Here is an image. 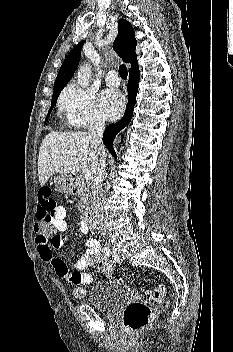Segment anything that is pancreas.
<instances>
[{"mask_svg":"<svg viewBox=\"0 0 233 352\" xmlns=\"http://www.w3.org/2000/svg\"><path fill=\"white\" fill-rule=\"evenodd\" d=\"M77 197L79 198V210L85 212L91 203V193L88 187H85L82 180L77 183Z\"/></svg>","mask_w":233,"mask_h":352,"instance_id":"1","label":"pancreas"}]
</instances>
